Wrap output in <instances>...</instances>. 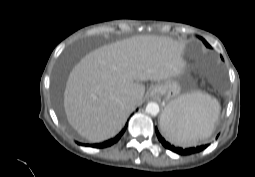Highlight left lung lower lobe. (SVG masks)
<instances>
[{"mask_svg":"<svg viewBox=\"0 0 255 177\" xmlns=\"http://www.w3.org/2000/svg\"><path fill=\"white\" fill-rule=\"evenodd\" d=\"M156 135L159 139V141L161 142V144L168 150H171L179 155H191V154H195L198 152L203 151L204 149H206L209 144L206 145H201V146H197V147H191V148H181V147H177L175 145L170 144L167 140L164 139V137L161 136V134L158 132L157 128H156Z\"/></svg>","mask_w":255,"mask_h":177,"instance_id":"1","label":"left lung lower lobe"}]
</instances>
